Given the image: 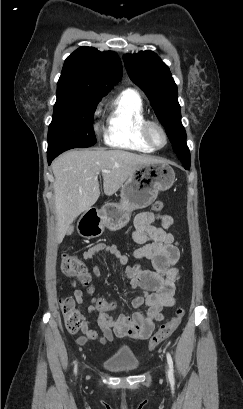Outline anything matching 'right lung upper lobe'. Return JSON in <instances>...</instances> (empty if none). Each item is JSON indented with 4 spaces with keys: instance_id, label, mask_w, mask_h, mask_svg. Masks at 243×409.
<instances>
[{
    "instance_id": "1",
    "label": "right lung upper lobe",
    "mask_w": 243,
    "mask_h": 409,
    "mask_svg": "<svg viewBox=\"0 0 243 409\" xmlns=\"http://www.w3.org/2000/svg\"><path fill=\"white\" fill-rule=\"evenodd\" d=\"M122 71L121 60L115 52L83 46L65 60L57 92L101 98L121 80Z\"/></svg>"
}]
</instances>
